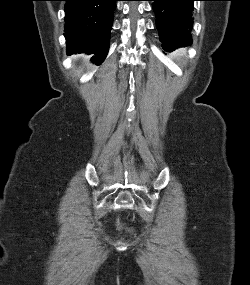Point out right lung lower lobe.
Here are the masks:
<instances>
[{
    "label": "right lung lower lobe",
    "instance_id": "98d812e1",
    "mask_svg": "<svg viewBox=\"0 0 250 285\" xmlns=\"http://www.w3.org/2000/svg\"><path fill=\"white\" fill-rule=\"evenodd\" d=\"M67 53L94 54L99 65L109 49L113 12L117 0H63Z\"/></svg>",
    "mask_w": 250,
    "mask_h": 285
}]
</instances>
